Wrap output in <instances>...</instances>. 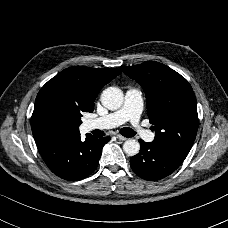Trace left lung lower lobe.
Wrapping results in <instances>:
<instances>
[{
    "mask_svg": "<svg viewBox=\"0 0 228 228\" xmlns=\"http://www.w3.org/2000/svg\"><path fill=\"white\" fill-rule=\"evenodd\" d=\"M140 152L130 158L132 170L141 178L156 181L173 173L187 157V151L164 147L139 139Z\"/></svg>",
    "mask_w": 228,
    "mask_h": 228,
    "instance_id": "1",
    "label": "left lung lower lobe"
}]
</instances>
